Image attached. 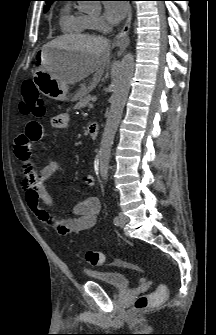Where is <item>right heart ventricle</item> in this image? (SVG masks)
I'll list each match as a JSON object with an SVG mask.
<instances>
[{
    "label": "right heart ventricle",
    "mask_w": 216,
    "mask_h": 335,
    "mask_svg": "<svg viewBox=\"0 0 216 335\" xmlns=\"http://www.w3.org/2000/svg\"><path fill=\"white\" fill-rule=\"evenodd\" d=\"M59 25L61 30L66 34H83L94 29L91 17L73 8L70 4L62 8Z\"/></svg>",
    "instance_id": "e07e8e85"
}]
</instances>
